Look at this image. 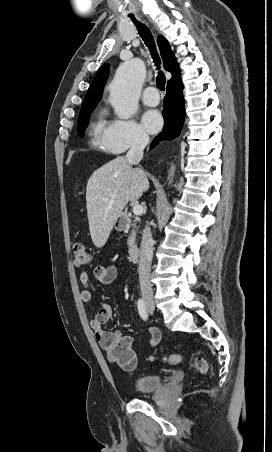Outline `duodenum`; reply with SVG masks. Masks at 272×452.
I'll return each mask as SVG.
<instances>
[{
	"label": "duodenum",
	"instance_id": "obj_1",
	"mask_svg": "<svg viewBox=\"0 0 272 452\" xmlns=\"http://www.w3.org/2000/svg\"><path fill=\"white\" fill-rule=\"evenodd\" d=\"M128 227V221L124 218L122 220L121 225L119 226L120 230H125ZM129 259L132 262H135L139 256V247L137 245H131L128 250Z\"/></svg>",
	"mask_w": 272,
	"mask_h": 452
}]
</instances>
